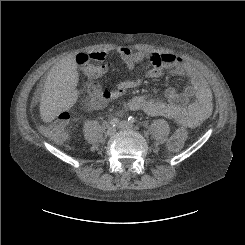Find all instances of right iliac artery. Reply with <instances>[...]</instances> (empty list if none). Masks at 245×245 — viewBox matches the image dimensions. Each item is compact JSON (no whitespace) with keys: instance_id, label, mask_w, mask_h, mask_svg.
Instances as JSON below:
<instances>
[{"instance_id":"obj_1","label":"right iliac artery","mask_w":245,"mask_h":245,"mask_svg":"<svg viewBox=\"0 0 245 245\" xmlns=\"http://www.w3.org/2000/svg\"><path fill=\"white\" fill-rule=\"evenodd\" d=\"M119 123V120L117 118H113L111 121H110V125L115 127L117 126Z\"/></svg>"}]
</instances>
